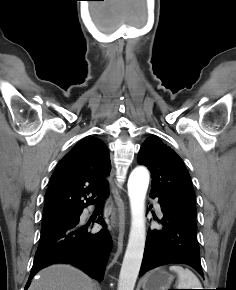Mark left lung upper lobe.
<instances>
[{"mask_svg": "<svg viewBox=\"0 0 236 290\" xmlns=\"http://www.w3.org/2000/svg\"><path fill=\"white\" fill-rule=\"evenodd\" d=\"M137 161L147 166L152 174L150 194L196 225L195 193L180 157L158 138L149 137L142 145Z\"/></svg>", "mask_w": 236, "mask_h": 290, "instance_id": "5c2ea615", "label": "left lung upper lobe"}]
</instances>
